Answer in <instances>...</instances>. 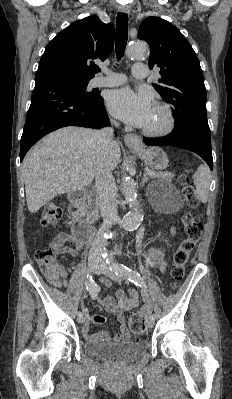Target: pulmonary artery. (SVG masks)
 <instances>
[{"label": "pulmonary artery", "mask_w": 232, "mask_h": 399, "mask_svg": "<svg viewBox=\"0 0 232 399\" xmlns=\"http://www.w3.org/2000/svg\"><path fill=\"white\" fill-rule=\"evenodd\" d=\"M131 74L134 80H142L143 76L147 74V71L144 69L143 63H134ZM103 74L105 75V79L101 76L102 74L97 75L91 82L93 87H104L106 90H113L117 84H129V77H124L122 73H113L111 74L110 70H103Z\"/></svg>", "instance_id": "pulmonary-artery-1"}]
</instances>
